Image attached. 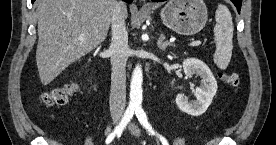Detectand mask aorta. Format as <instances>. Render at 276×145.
<instances>
[{"instance_id": "aorta-1", "label": "aorta", "mask_w": 276, "mask_h": 145, "mask_svg": "<svg viewBox=\"0 0 276 145\" xmlns=\"http://www.w3.org/2000/svg\"><path fill=\"white\" fill-rule=\"evenodd\" d=\"M142 82L143 74L140 65H137L132 73L130 83V101L129 105L132 107H138L142 103Z\"/></svg>"}]
</instances>
